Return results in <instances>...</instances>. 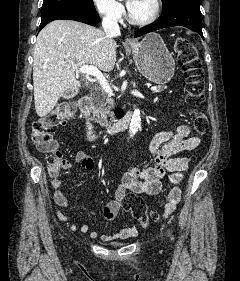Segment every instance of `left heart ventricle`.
I'll return each mask as SVG.
<instances>
[{"label": "left heart ventricle", "mask_w": 240, "mask_h": 281, "mask_svg": "<svg viewBox=\"0 0 240 281\" xmlns=\"http://www.w3.org/2000/svg\"><path fill=\"white\" fill-rule=\"evenodd\" d=\"M152 9V0H135L129 11L134 18L144 19L151 14Z\"/></svg>", "instance_id": "obj_1"}]
</instances>
